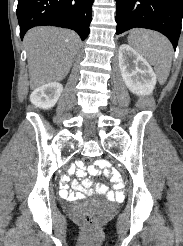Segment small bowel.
<instances>
[{"instance_id":"1","label":"small bowel","mask_w":183,"mask_h":246,"mask_svg":"<svg viewBox=\"0 0 183 246\" xmlns=\"http://www.w3.org/2000/svg\"><path fill=\"white\" fill-rule=\"evenodd\" d=\"M86 170L92 174L97 175L99 174H109L110 178L108 179L109 183H115L112 185L113 189H116L117 192L114 193L109 190L108 186L105 184H95L91 182L86 177ZM67 174H60V179H69V174H75V179H82L81 183L77 182L76 180H73L71 182V187L75 191L69 192L67 189H69V184H58V189L60 190V193L58 194L59 198H64L68 200H74L79 199L86 195H92V194H101L106 196L110 200H119L123 197L122 189L125 188V185L121 183V174H117V169H107V162L104 160H98L94 163V165L89 166L88 169L82 164L79 163L77 165H68ZM77 173V174H76Z\"/></svg>"}]
</instances>
